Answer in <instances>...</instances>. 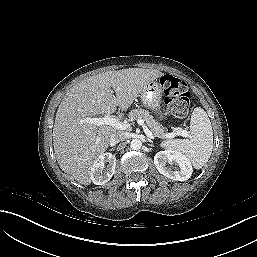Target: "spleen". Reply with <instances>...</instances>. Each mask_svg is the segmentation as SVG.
Segmentation results:
<instances>
[{"mask_svg":"<svg viewBox=\"0 0 257 257\" xmlns=\"http://www.w3.org/2000/svg\"><path fill=\"white\" fill-rule=\"evenodd\" d=\"M190 139L163 141L161 147L182 153L196 168H202L209 160L213 149V131L207 113L196 107L191 115Z\"/></svg>","mask_w":257,"mask_h":257,"instance_id":"spleen-1","label":"spleen"}]
</instances>
